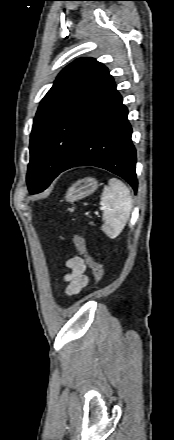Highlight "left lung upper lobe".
<instances>
[{
  "label": "left lung upper lobe",
  "mask_w": 174,
  "mask_h": 440,
  "mask_svg": "<svg viewBox=\"0 0 174 440\" xmlns=\"http://www.w3.org/2000/svg\"><path fill=\"white\" fill-rule=\"evenodd\" d=\"M108 69L93 58L65 67L37 110L30 137L27 185L46 189L60 173L95 107L113 85Z\"/></svg>",
  "instance_id": "5c2ea615"
}]
</instances>
